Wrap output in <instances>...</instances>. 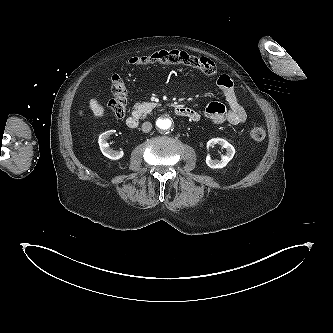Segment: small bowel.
<instances>
[{
	"label": "small bowel",
	"mask_w": 333,
	"mask_h": 333,
	"mask_svg": "<svg viewBox=\"0 0 333 333\" xmlns=\"http://www.w3.org/2000/svg\"><path fill=\"white\" fill-rule=\"evenodd\" d=\"M217 86L222 91L228 107L219 102H211L205 109V117L214 124L227 122L237 125L245 122L247 115L234 91L232 79L228 75H221L217 80ZM182 116L192 121H198L201 117L197 111L188 107H185Z\"/></svg>",
	"instance_id": "c3829d8e"
}]
</instances>
